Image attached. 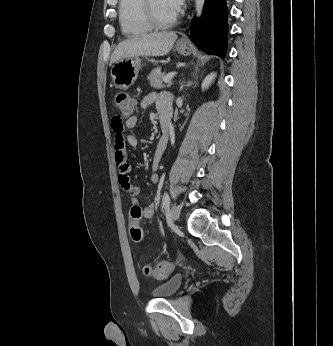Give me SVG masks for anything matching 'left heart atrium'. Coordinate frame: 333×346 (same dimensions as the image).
<instances>
[{
	"instance_id": "left-heart-atrium-1",
	"label": "left heart atrium",
	"mask_w": 333,
	"mask_h": 346,
	"mask_svg": "<svg viewBox=\"0 0 333 346\" xmlns=\"http://www.w3.org/2000/svg\"><path fill=\"white\" fill-rule=\"evenodd\" d=\"M166 6L171 10L173 14H177L184 3V0H164Z\"/></svg>"
}]
</instances>
